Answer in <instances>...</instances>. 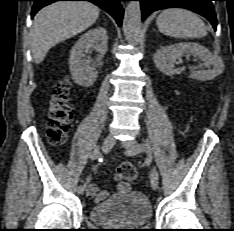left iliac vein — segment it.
<instances>
[{
    "label": "left iliac vein",
    "instance_id": "1",
    "mask_svg": "<svg viewBox=\"0 0 234 231\" xmlns=\"http://www.w3.org/2000/svg\"><path fill=\"white\" fill-rule=\"evenodd\" d=\"M122 146L128 151H132L134 154L141 151L139 150V144L135 140L123 141ZM150 183L153 190H156L159 186V174L155 167H153L151 171Z\"/></svg>",
    "mask_w": 234,
    "mask_h": 231
}]
</instances>
